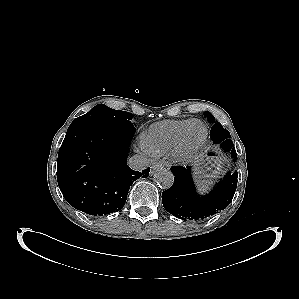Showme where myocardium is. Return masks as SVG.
I'll use <instances>...</instances> for the list:
<instances>
[{
    "mask_svg": "<svg viewBox=\"0 0 299 299\" xmlns=\"http://www.w3.org/2000/svg\"><path fill=\"white\" fill-rule=\"evenodd\" d=\"M194 123H199L203 126L204 134L202 140L197 146H195L192 149H188L186 148L185 145V138L189 127ZM207 138H208V128L206 124L199 119H192L187 123V125L183 128V130L179 134L174 146L169 151L170 155L175 161L179 163H188L201 152V150L206 144Z\"/></svg>",
    "mask_w": 299,
    "mask_h": 299,
    "instance_id": "obj_1",
    "label": "myocardium"
}]
</instances>
